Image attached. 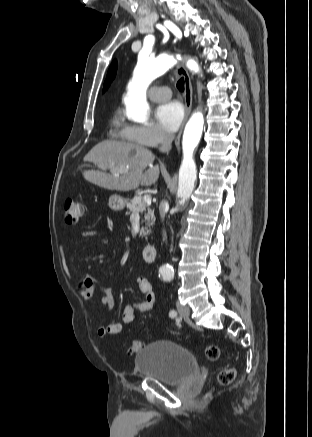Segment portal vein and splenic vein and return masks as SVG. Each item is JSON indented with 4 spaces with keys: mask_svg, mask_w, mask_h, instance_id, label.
Returning <instances> with one entry per match:
<instances>
[{
    "mask_svg": "<svg viewBox=\"0 0 312 437\" xmlns=\"http://www.w3.org/2000/svg\"><path fill=\"white\" fill-rule=\"evenodd\" d=\"M143 199L147 204H151V196L145 195Z\"/></svg>",
    "mask_w": 312,
    "mask_h": 437,
    "instance_id": "18ae733b",
    "label": "portal vein and splenic vein"
}]
</instances>
